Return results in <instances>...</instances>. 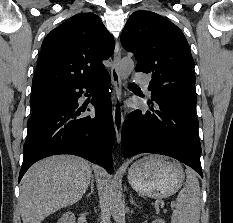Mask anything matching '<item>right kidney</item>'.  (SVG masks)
<instances>
[{
  "mask_svg": "<svg viewBox=\"0 0 233 223\" xmlns=\"http://www.w3.org/2000/svg\"><path fill=\"white\" fill-rule=\"evenodd\" d=\"M57 223H75V215L72 211H66L62 217H60Z\"/></svg>",
  "mask_w": 233,
  "mask_h": 223,
  "instance_id": "ca27d5eb",
  "label": "right kidney"
}]
</instances>
